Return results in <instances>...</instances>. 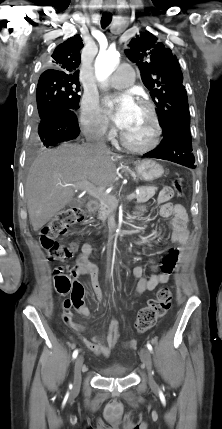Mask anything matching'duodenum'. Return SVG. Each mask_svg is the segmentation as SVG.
<instances>
[{"instance_id":"1","label":"duodenum","mask_w":222,"mask_h":429,"mask_svg":"<svg viewBox=\"0 0 222 429\" xmlns=\"http://www.w3.org/2000/svg\"><path fill=\"white\" fill-rule=\"evenodd\" d=\"M99 204L97 201L91 200L87 203L86 212L92 214L98 210Z\"/></svg>"}]
</instances>
